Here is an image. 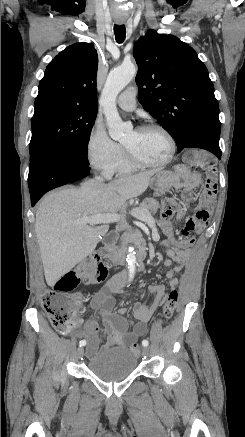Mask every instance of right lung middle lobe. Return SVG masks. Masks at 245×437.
<instances>
[{"label":"right lung middle lobe","mask_w":245,"mask_h":437,"mask_svg":"<svg viewBox=\"0 0 245 437\" xmlns=\"http://www.w3.org/2000/svg\"><path fill=\"white\" fill-rule=\"evenodd\" d=\"M96 116L97 110L59 103L35 106L29 144L30 159L44 149L87 157L88 141Z\"/></svg>","instance_id":"1"}]
</instances>
